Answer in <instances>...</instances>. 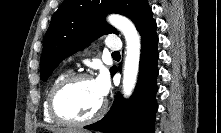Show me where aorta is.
<instances>
[{"label":"aorta","instance_id":"1","mask_svg":"<svg viewBox=\"0 0 221 133\" xmlns=\"http://www.w3.org/2000/svg\"><path fill=\"white\" fill-rule=\"evenodd\" d=\"M108 22L121 31L126 39V57L123 69V95L129 97L137 81L140 61L141 41L134 24L121 15H110Z\"/></svg>","mask_w":221,"mask_h":133}]
</instances>
